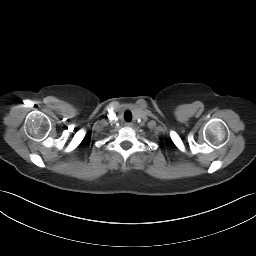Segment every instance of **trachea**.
I'll return each instance as SVG.
<instances>
[{"label":"trachea","instance_id":"1","mask_svg":"<svg viewBox=\"0 0 256 256\" xmlns=\"http://www.w3.org/2000/svg\"><path fill=\"white\" fill-rule=\"evenodd\" d=\"M124 119L127 121V122H130L132 120V113L127 110L125 113H124Z\"/></svg>","mask_w":256,"mask_h":256}]
</instances>
